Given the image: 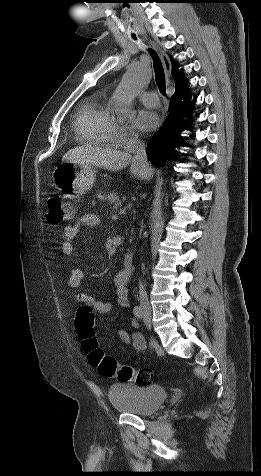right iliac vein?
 Listing matches in <instances>:
<instances>
[{"mask_svg": "<svg viewBox=\"0 0 261 476\" xmlns=\"http://www.w3.org/2000/svg\"><path fill=\"white\" fill-rule=\"evenodd\" d=\"M145 317H146V319H147L148 321L151 320V313H150V311H146V312H145Z\"/></svg>", "mask_w": 261, "mask_h": 476, "instance_id": "obj_1", "label": "right iliac vein"}]
</instances>
